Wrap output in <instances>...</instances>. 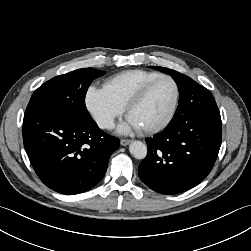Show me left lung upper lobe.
<instances>
[{
    "label": "left lung upper lobe",
    "mask_w": 251,
    "mask_h": 251,
    "mask_svg": "<svg viewBox=\"0 0 251 251\" xmlns=\"http://www.w3.org/2000/svg\"><path fill=\"white\" fill-rule=\"evenodd\" d=\"M152 68L162 71L173 77V79L177 83V86L180 92V97L184 94L193 92L194 90H197L203 87L199 85L198 83H196L194 80H192L190 77L183 75L175 70H171L164 67H156V66H152Z\"/></svg>",
    "instance_id": "obj_1"
}]
</instances>
